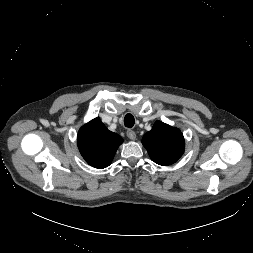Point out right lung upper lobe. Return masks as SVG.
Returning a JSON list of instances; mask_svg holds the SVG:
<instances>
[{
	"label": "right lung upper lobe",
	"mask_w": 253,
	"mask_h": 253,
	"mask_svg": "<svg viewBox=\"0 0 253 253\" xmlns=\"http://www.w3.org/2000/svg\"><path fill=\"white\" fill-rule=\"evenodd\" d=\"M77 142L86 162L102 169L111 164L123 138L109 131L99 118H95L80 128Z\"/></svg>",
	"instance_id": "cb5924a9"
}]
</instances>
